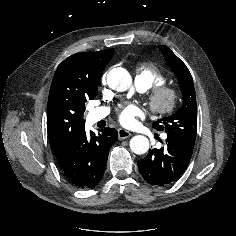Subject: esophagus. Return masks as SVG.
<instances>
[{"label": "esophagus", "mask_w": 236, "mask_h": 236, "mask_svg": "<svg viewBox=\"0 0 236 236\" xmlns=\"http://www.w3.org/2000/svg\"><path fill=\"white\" fill-rule=\"evenodd\" d=\"M131 136V133L125 129H118V138L119 139H126L129 138Z\"/></svg>", "instance_id": "34e87169"}]
</instances>
